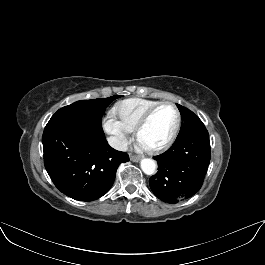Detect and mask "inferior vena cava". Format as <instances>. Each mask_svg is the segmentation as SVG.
Returning a JSON list of instances; mask_svg holds the SVG:
<instances>
[{
	"mask_svg": "<svg viewBox=\"0 0 265 265\" xmlns=\"http://www.w3.org/2000/svg\"><path fill=\"white\" fill-rule=\"evenodd\" d=\"M109 145L119 151H127L128 144L125 139L119 138L117 136H110L107 138Z\"/></svg>",
	"mask_w": 265,
	"mask_h": 265,
	"instance_id": "1",
	"label": "inferior vena cava"
}]
</instances>
